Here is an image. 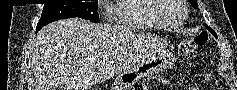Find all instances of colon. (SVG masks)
<instances>
[{"instance_id": "5ec220e1", "label": "colon", "mask_w": 237, "mask_h": 90, "mask_svg": "<svg viewBox=\"0 0 237 90\" xmlns=\"http://www.w3.org/2000/svg\"><path fill=\"white\" fill-rule=\"evenodd\" d=\"M207 36L205 33H200L195 37L183 39L180 42V49L185 56L191 55L195 49L206 43Z\"/></svg>"}]
</instances>
